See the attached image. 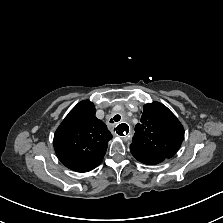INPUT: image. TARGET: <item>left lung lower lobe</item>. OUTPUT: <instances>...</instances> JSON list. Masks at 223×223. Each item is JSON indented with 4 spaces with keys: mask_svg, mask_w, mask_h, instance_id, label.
Listing matches in <instances>:
<instances>
[{
    "mask_svg": "<svg viewBox=\"0 0 223 223\" xmlns=\"http://www.w3.org/2000/svg\"><path fill=\"white\" fill-rule=\"evenodd\" d=\"M131 149V153L132 155L140 162L144 163V164H148V165H154V164H158L162 161L165 160V158L163 157H159L156 155H151V154H147L141 151H138L136 149Z\"/></svg>",
    "mask_w": 223,
    "mask_h": 223,
    "instance_id": "obj_1",
    "label": "left lung lower lobe"
}]
</instances>
